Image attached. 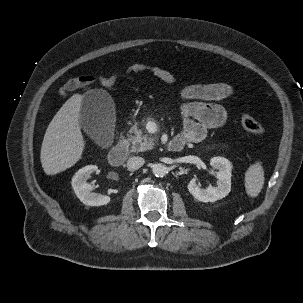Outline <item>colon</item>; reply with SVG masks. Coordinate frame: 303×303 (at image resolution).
<instances>
[{
	"instance_id": "colon-1",
	"label": "colon",
	"mask_w": 303,
	"mask_h": 303,
	"mask_svg": "<svg viewBox=\"0 0 303 303\" xmlns=\"http://www.w3.org/2000/svg\"><path fill=\"white\" fill-rule=\"evenodd\" d=\"M101 84L106 87L110 88L112 87L116 81H117V75L116 74H108L100 78ZM239 121L241 126L248 132L254 134V135H264L265 134V127L262 123L257 121L255 118H253L251 115L241 112L239 114Z\"/></svg>"
}]
</instances>
